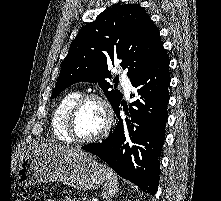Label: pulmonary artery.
I'll use <instances>...</instances> for the list:
<instances>
[{"instance_id":"1","label":"pulmonary artery","mask_w":221,"mask_h":201,"mask_svg":"<svg viewBox=\"0 0 221 201\" xmlns=\"http://www.w3.org/2000/svg\"><path fill=\"white\" fill-rule=\"evenodd\" d=\"M120 81L122 86L124 87L125 93L128 95L131 90V84L126 74L124 73L120 74Z\"/></svg>"}]
</instances>
